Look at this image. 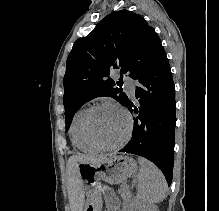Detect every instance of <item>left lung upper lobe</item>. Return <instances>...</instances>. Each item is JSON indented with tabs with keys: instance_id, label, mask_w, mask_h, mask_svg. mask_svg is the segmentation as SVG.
Wrapping results in <instances>:
<instances>
[{
	"instance_id": "1",
	"label": "left lung upper lobe",
	"mask_w": 219,
	"mask_h": 211,
	"mask_svg": "<svg viewBox=\"0 0 219 211\" xmlns=\"http://www.w3.org/2000/svg\"><path fill=\"white\" fill-rule=\"evenodd\" d=\"M164 52L154 28L140 15L123 9L107 15L86 37L75 41L64 76L66 131L75 112L96 97H112L121 104L123 73L132 79L144 72ZM121 71L115 82L109 77Z\"/></svg>"
}]
</instances>
